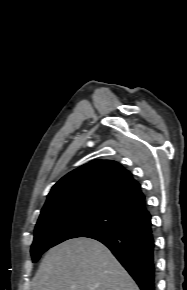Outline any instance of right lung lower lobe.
Listing matches in <instances>:
<instances>
[{
	"mask_svg": "<svg viewBox=\"0 0 187 290\" xmlns=\"http://www.w3.org/2000/svg\"><path fill=\"white\" fill-rule=\"evenodd\" d=\"M151 217L88 236L106 245L141 290H155V246Z\"/></svg>",
	"mask_w": 187,
	"mask_h": 290,
	"instance_id": "obj_1",
	"label": "right lung lower lobe"
}]
</instances>
